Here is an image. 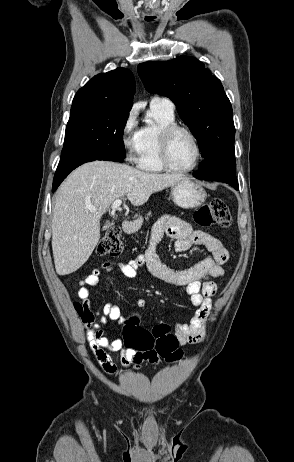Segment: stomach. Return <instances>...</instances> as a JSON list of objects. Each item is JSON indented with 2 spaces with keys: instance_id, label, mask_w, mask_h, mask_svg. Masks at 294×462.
Listing matches in <instances>:
<instances>
[{
  "instance_id": "0dacf381",
  "label": "stomach",
  "mask_w": 294,
  "mask_h": 462,
  "mask_svg": "<svg viewBox=\"0 0 294 462\" xmlns=\"http://www.w3.org/2000/svg\"><path fill=\"white\" fill-rule=\"evenodd\" d=\"M173 202L185 209L195 208L201 205L206 199V191L189 178H183L171 187ZM142 217L136 221V226L142 224Z\"/></svg>"
}]
</instances>
